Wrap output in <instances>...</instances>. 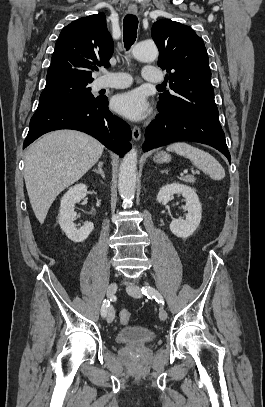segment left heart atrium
<instances>
[{"instance_id": "1", "label": "left heart atrium", "mask_w": 265, "mask_h": 407, "mask_svg": "<svg viewBox=\"0 0 265 407\" xmlns=\"http://www.w3.org/2000/svg\"><path fill=\"white\" fill-rule=\"evenodd\" d=\"M113 109L124 117L139 121L149 113V105L139 90H132L115 96L112 100Z\"/></svg>"}]
</instances>
